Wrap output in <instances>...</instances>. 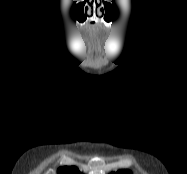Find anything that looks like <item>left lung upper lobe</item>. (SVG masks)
Listing matches in <instances>:
<instances>
[{"instance_id": "1", "label": "left lung upper lobe", "mask_w": 187, "mask_h": 174, "mask_svg": "<svg viewBox=\"0 0 187 174\" xmlns=\"http://www.w3.org/2000/svg\"><path fill=\"white\" fill-rule=\"evenodd\" d=\"M111 174H132L129 170H120L117 173H111Z\"/></svg>"}]
</instances>
